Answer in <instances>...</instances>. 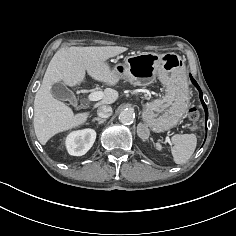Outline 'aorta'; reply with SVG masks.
I'll return each instance as SVG.
<instances>
[{"label":"aorta","mask_w":236,"mask_h":236,"mask_svg":"<svg viewBox=\"0 0 236 236\" xmlns=\"http://www.w3.org/2000/svg\"><path fill=\"white\" fill-rule=\"evenodd\" d=\"M135 118V114L131 110H123L119 114V121L122 124L129 125L132 124Z\"/></svg>","instance_id":"aorta-1"}]
</instances>
